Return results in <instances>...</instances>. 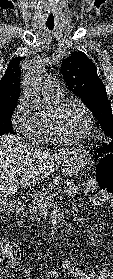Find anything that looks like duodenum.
Listing matches in <instances>:
<instances>
[{
	"label": "duodenum",
	"instance_id": "obj_1",
	"mask_svg": "<svg viewBox=\"0 0 113 279\" xmlns=\"http://www.w3.org/2000/svg\"><path fill=\"white\" fill-rule=\"evenodd\" d=\"M68 221H69V216H66L65 219H64V221H63V223H62L64 227L66 226V224L68 223Z\"/></svg>",
	"mask_w": 113,
	"mask_h": 279
}]
</instances>
